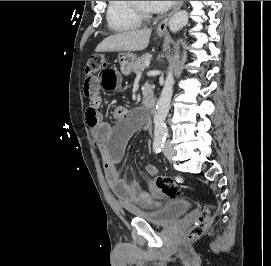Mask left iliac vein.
<instances>
[{"mask_svg": "<svg viewBox=\"0 0 271 266\" xmlns=\"http://www.w3.org/2000/svg\"><path fill=\"white\" fill-rule=\"evenodd\" d=\"M163 152H164V155L166 156V158H167L170 162H172V159H173V157L175 156L176 151H175V149L173 148V146H172L171 143H167V144L164 146Z\"/></svg>", "mask_w": 271, "mask_h": 266, "instance_id": "1", "label": "left iliac vein"}]
</instances>
